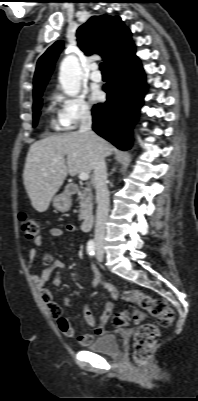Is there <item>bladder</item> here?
I'll return each instance as SVG.
<instances>
[{
	"label": "bladder",
	"mask_w": 198,
	"mask_h": 401,
	"mask_svg": "<svg viewBox=\"0 0 198 401\" xmlns=\"http://www.w3.org/2000/svg\"><path fill=\"white\" fill-rule=\"evenodd\" d=\"M88 348L98 353L117 354L120 349L119 339L113 333L103 334L89 344Z\"/></svg>",
	"instance_id": "31cf9c89"
}]
</instances>
